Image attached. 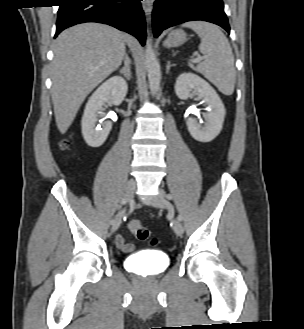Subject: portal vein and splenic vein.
I'll use <instances>...</instances> for the list:
<instances>
[{"mask_svg":"<svg viewBox=\"0 0 304 329\" xmlns=\"http://www.w3.org/2000/svg\"><path fill=\"white\" fill-rule=\"evenodd\" d=\"M203 59H204V57L198 56V57L192 59L191 62L198 63V62L202 61Z\"/></svg>","mask_w":304,"mask_h":329,"instance_id":"18ae733b","label":"portal vein and splenic vein"}]
</instances>
